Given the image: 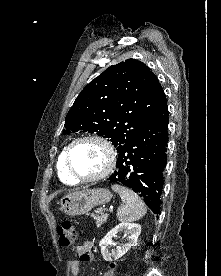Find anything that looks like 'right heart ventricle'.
<instances>
[{
  "label": "right heart ventricle",
  "instance_id": "right-heart-ventricle-1",
  "mask_svg": "<svg viewBox=\"0 0 221 276\" xmlns=\"http://www.w3.org/2000/svg\"><path fill=\"white\" fill-rule=\"evenodd\" d=\"M65 151H63L57 162V169H58V175L60 179L67 184H75L77 181L74 180L67 172L66 166H65Z\"/></svg>",
  "mask_w": 221,
  "mask_h": 276
}]
</instances>
